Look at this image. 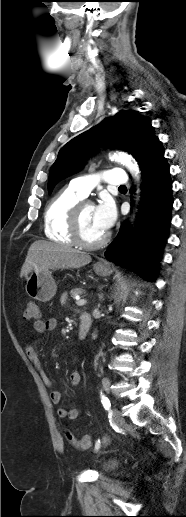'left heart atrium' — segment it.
<instances>
[{
    "mask_svg": "<svg viewBox=\"0 0 186 517\" xmlns=\"http://www.w3.org/2000/svg\"><path fill=\"white\" fill-rule=\"evenodd\" d=\"M116 215L115 204L108 196H104L94 210L95 221L105 232L114 224Z\"/></svg>",
    "mask_w": 186,
    "mask_h": 517,
    "instance_id": "obj_1",
    "label": "left heart atrium"
}]
</instances>
